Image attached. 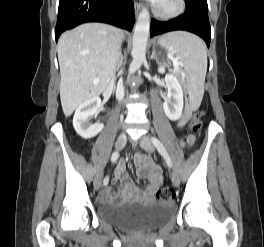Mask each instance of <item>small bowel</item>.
<instances>
[{"label": "small bowel", "instance_id": "small-bowel-1", "mask_svg": "<svg viewBox=\"0 0 264 247\" xmlns=\"http://www.w3.org/2000/svg\"><path fill=\"white\" fill-rule=\"evenodd\" d=\"M189 117L186 113L183 118L178 122L179 125L184 124ZM193 142L192 137H188L186 143L191 145ZM135 164L139 177L147 178L149 185L143 190L135 184L131 177L126 173V164L121 161L116 168V177L122 181L120 194L114 195L110 188L104 189L99 195L101 202H113L121 198H139L150 200L153 198L158 187L162 184L163 176L159 166L155 165L152 160L143 153H138L135 156Z\"/></svg>", "mask_w": 264, "mask_h": 247}]
</instances>
